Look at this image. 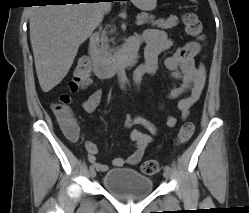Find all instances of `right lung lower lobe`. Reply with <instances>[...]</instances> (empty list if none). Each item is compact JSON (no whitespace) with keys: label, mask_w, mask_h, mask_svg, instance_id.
Masks as SVG:
<instances>
[{"label":"right lung lower lobe","mask_w":249,"mask_h":213,"mask_svg":"<svg viewBox=\"0 0 249 213\" xmlns=\"http://www.w3.org/2000/svg\"><path fill=\"white\" fill-rule=\"evenodd\" d=\"M43 1L44 2L42 3L47 2V3H55L59 5V4H66V3H78L79 4V2L82 0H43ZM106 1H113V0H106Z\"/></svg>","instance_id":"1"}]
</instances>
